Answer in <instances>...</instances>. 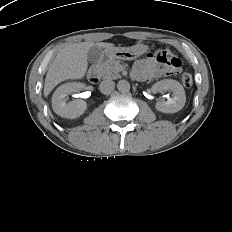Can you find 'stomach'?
<instances>
[{
	"instance_id": "stomach-1",
	"label": "stomach",
	"mask_w": 232,
	"mask_h": 232,
	"mask_svg": "<svg viewBox=\"0 0 232 232\" xmlns=\"http://www.w3.org/2000/svg\"><path fill=\"white\" fill-rule=\"evenodd\" d=\"M149 50L148 46L140 44L132 48H113L104 51V60L113 61V60H131L136 57L145 54Z\"/></svg>"
}]
</instances>
